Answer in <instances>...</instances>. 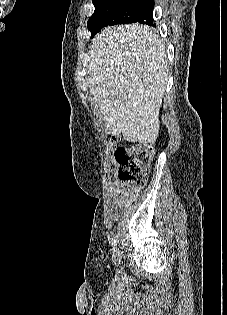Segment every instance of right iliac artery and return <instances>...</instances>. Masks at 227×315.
Here are the masks:
<instances>
[{"label":"right iliac artery","mask_w":227,"mask_h":315,"mask_svg":"<svg viewBox=\"0 0 227 315\" xmlns=\"http://www.w3.org/2000/svg\"><path fill=\"white\" fill-rule=\"evenodd\" d=\"M112 242H113L114 244H116V243L118 242V240H117V237H116V236H114V237H113Z\"/></svg>","instance_id":"82829eb1"}]
</instances>
